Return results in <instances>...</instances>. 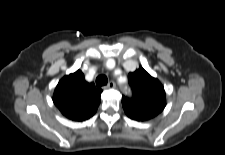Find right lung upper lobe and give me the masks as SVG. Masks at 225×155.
<instances>
[{
    "instance_id": "1",
    "label": "right lung upper lobe",
    "mask_w": 225,
    "mask_h": 155,
    "mask_svg": "<svg viewBox=\"0 0 225 155\" xmlns=\"http://www.w3.org/2000/svg\"><path fill=\"white\" fill-rule=\"evenodd\" d=\"M101 93L102 89L86 82L83 73L77 70L59 81L53 102L66 118L84 121L96 113Z\"/></svg>"
}]
</instances>
